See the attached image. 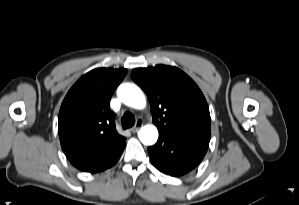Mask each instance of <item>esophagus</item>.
<instances>
[{
    "instance_id": "1",
    "label": "esophagus",
    "mask_w": 299,
    "mask_h": 205,
    "mask_svg": "<svg viewBox=\"0 0 299 205\" xmlns=\"http://www.w3.org/2000/svg\"><path fill=\"white\" fill-rule=\"evenodd\" d=\"M142 125H143V121L140 120V119H138V120L136 121L135 126L131 128V131H132L133 133L137 132V131L139 130V128H140Z\"/></svg>"
}]
</instances>
